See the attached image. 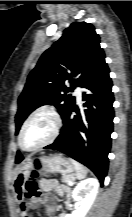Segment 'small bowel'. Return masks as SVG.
<instances>
[{
    "label": "small bowel",
    "instance_id": "c3829d8e",
    "mask_svg": "<svg viewBox=\"0 0 132 217\" xmlns=\"http://www.w3.org/2000/svg\"><path fill=\"white\" fill-rule=\"evenodd\" d=\"M40 185L42 190L46 193L41 198V202L45 204L46 212L48 214H52L56 209L55 202L52 199V197L49 195L50 192L52 191L56 192L61 198L65 199L67 202L70 200L71 197L70 189L63 184H60L55 179H42L40 181ZM17 193H18V200L20 203L21 217H28L30 215L28 212L30 203L24 200L23 194L20 191H18Z\"/></svg>",
    "mask_w": 132,
    "mask_h": 217
}]
</instances>
